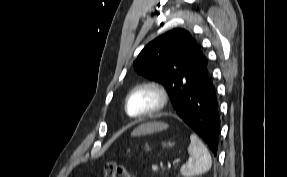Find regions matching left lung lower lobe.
Returning a JSON list of instances; mask_svg holds the SVG:
<instances>
[{"label":"left lung lower lobe","mask_w":287,"mask_h":177,"mask_svg":"<svg viewBox=\"0 0 287 177\" xmlns=\"http://www.w3.org/2000/svg\"><path fill=\"white\" fill-rule=\"evenodd\" d=\"M175 110L216 155L220 118L215 88L207 67L198 76L195 84L182 95Z\"/></svg>","instance_id":"1"}]
</instances>
